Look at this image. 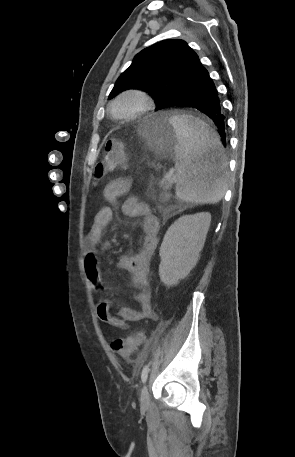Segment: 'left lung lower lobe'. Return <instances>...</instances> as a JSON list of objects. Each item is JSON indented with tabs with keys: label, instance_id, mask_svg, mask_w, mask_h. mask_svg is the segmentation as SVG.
Here are the masks:
<instances>
[{
	"label": "left lung lower lobe",
	"instance_id": "left-lung-lower-lobe-1",
	"mask_svg": "<svg viewBox=\"0 0 295 457\" xmlns=\"http://www.w3.org/2000/svg\"><path fill=\"white\" fill-rule=\"evenodd\" d=\"M172 106L194 108L207 115L217 126L221 142L226 147L225 117L221 111L217 90L199 59L188 74V87L168 99L163 108ZM215 157L216 154L209 153L208 159L212 162Z\"/></svg>",
	"mask_w": 295,
	"mask_h": 457
}]
</instances>
